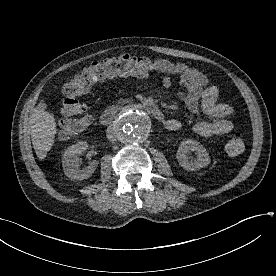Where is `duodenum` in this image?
Returning <instances> with one entry per match:
<instances>
[{"label": "duodenum", "instance_id": "duodenum-1", "mask_svg": "<svg viewBox=\"0 0 276 276\" xmlns=\"http://www.w3.org/2000/svg\"><path fill=\"white\" fill-rule=\"evenodd\" d=\"M126 108L143 110L146 113L153 116L158 121H162V122L165 121V116L163 112L157 106L147 105L142 103H135V104L126 106ZM122 109H124V107L122 106H111L105 109L100 115V122L105 125H109L113 123Z\"/></svg>", "mask_w": 276, "mask_h": 276}]
</instances>
